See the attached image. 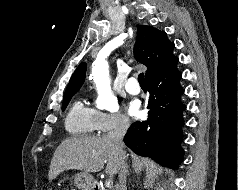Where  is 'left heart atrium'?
Returning a JSON list of instances; mask_svg holds the SVG:
<instances>
[{"mask_svg":"<svg viewBox=\"0 0 238 190\" xmlns=\"http://www.w3.org/2000/svg\"><path fill=\"white\" fill-rule=\"evenodd\" d=\"M129 112L131 115L138 116L140 114L139 104L137 102H131L129 105Z\"/></svg>","mask_w":238,"mask_h":190,"instance_id":"obj_1","label":"left heart atrium"}]
</instances>
